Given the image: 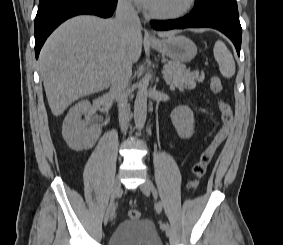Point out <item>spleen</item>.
Returning <instances> with one entry per match:
<instances>
[{"mask_svg":"<svg viewBox=\"0 0 283 245\" xmlns=\"http://www.w3.org/2000/svg\"><path fill=\"white\" fill-rule=\"evenodd\" d=\"M213 53L219 65L220 73L226 78L233 77L235 74V62L226 45L220 40L216 41Z\"/></svg>","mask_w":283,"mask_h":245,"instance_id":"3e777b00","label":"spleen"}]
</instances>
